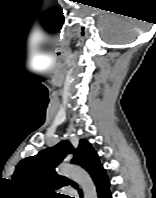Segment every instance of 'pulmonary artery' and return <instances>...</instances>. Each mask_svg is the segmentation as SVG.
Here are the masks:
<instances>
[{"label":"pulmonary artery","instance_id":"1","mask_svg":"<svg viewBox=\"0 0 156 198\" xmlns=\"http://www.w3.org/2000/svg\"><path fill=\"white\" fill-rule=\"evenodd\" d=\"M65 189H67V190H68V189H72V187H66Z\"/></svg>","mask_w":156,"mask_h":198}]
</instances>
